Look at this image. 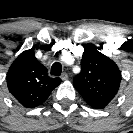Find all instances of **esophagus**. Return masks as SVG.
I'll list each match as a JSON object with an SVG mask.
<instances>
[{
    "instance_id": "obj_1",
    "label": "esophagus",
    "mask_w": 133,
    "mask_h": 133,
    "mask_svg": "<svg viewBox=\"0 0 133 133\" xmlns=\"http://www.w3.org/2000/svg\"><path fill=\"white\" fill-rule=\"evenodd\" d=\"M61 79L62 80H67L68 79V74L66 72L62 73Z\"/></svg>"
}]
</instances>
